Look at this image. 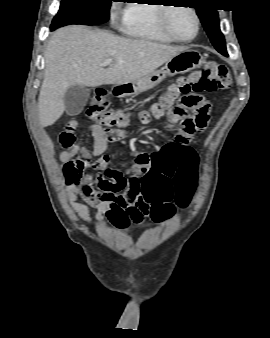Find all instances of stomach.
Returning <instances> with one entry per match:
<instances>
[{
	"label": "stomach",
	"mask_w": 270,
	"mask_h": 338,
	"mask_svg": "<svg viewBox=\"0 0 270 338\" xmlns=\"http://www.w3.org/2000/svg\"><path fill=\"white\" fill-rule=\"evenodd\" d=\"M203 64L202 56L194 50H184L168 60L165 65L156 71H152L132 82L118 85L122 96L137 95L161 83L166 77L187 73Z\"/></svg>",
	"instance_id": "1"
}]
</instances>
